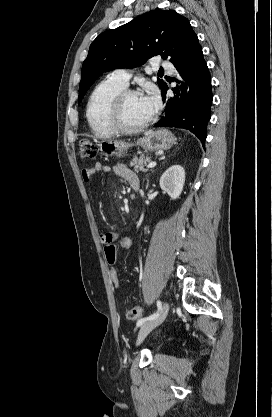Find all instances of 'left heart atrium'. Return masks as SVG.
Here are the masks:
<instances>
[{
  "instance_id": "left-heart-atrium-1",
  "label": "left heart atrium",
  "mask_w": 272,
  "mask_h": 417,
  "mask_svg": "<svg viewBox=\"0 0 272 417\" xmlns=\"http://www.w3.org/2000/svg\"><path fill=\"white\" fill-rule=\"evenodd\" d=\"M141 99L147 110L150 112V114L153 115L159 108V95L154 87H150L147 90V93L141 96Z\"/></svg>"
}]
</instances>
